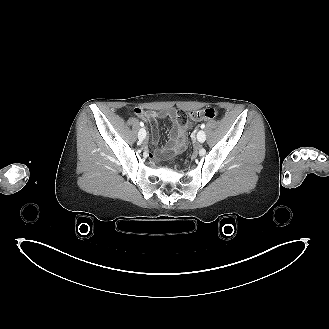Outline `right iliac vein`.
Masks as SVG:
<instances>
[{"mask_svg":"<svg viewBox=\"0 0 329 329\" xmlns=\"http://www.w3.org/2000/svg\"><path fill=\"white\" fill-rule=\"evenodd\" d=\"M146 137V130L144 128H141L138 132V139L140 141H143Z\"/></svg>","mask_w":329,"mask_h":329,"instance_id":"1","label":"right iliac vein"}]
</instances>
